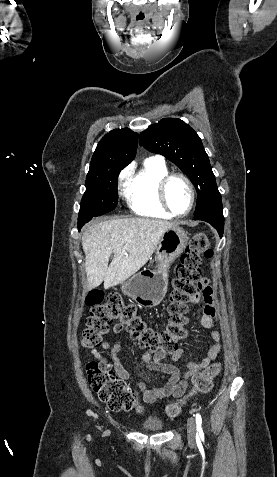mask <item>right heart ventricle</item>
I'll list each match as a JSON object with an SVG mask.
<instances>
[{
  "instance_id": "obj_1",
  "label": "right heart ventricle",
  "mask_w": 277,
  "mask_h": 477,
  "mask_svg": "<svg viewBox=\"0 0 277 477\" xmlns=\"http://www.w3.org/2000/svg\"><path fill=\"white\" fill-rule=\"evenodd\" d=\"M167 173L169 171L163 161L150 158L131 176L127 187V204L133 213L157 219L173 218L164 210L158 198V183Z\"/></svg>"
}]
</instances>
